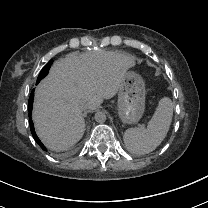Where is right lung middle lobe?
Segmentation results:
<instances>
[{"mask_svg":"<svg viewBox=\"0 0 208 208\" xmlns=\"http://www.w3.org/2000/svg\"><path fill=\"white\" fill-rule=\"evenodd\" d=\"M45 75H46V72H45V66H44V68L42 69V71L40 72V74H39V76H38V78H37L36 84H37L38 82H40V80H41L43 77H45Z\"/></svg>","mask_w":208,"mask_h":208,"instance_id":"right-lung-middle-lobe-1","label":"right lung middle lobe"}]
</instances>
